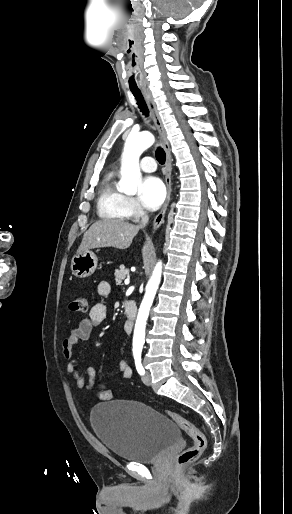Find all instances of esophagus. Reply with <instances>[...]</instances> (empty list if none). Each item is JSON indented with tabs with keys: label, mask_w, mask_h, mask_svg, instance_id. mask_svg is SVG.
<instances>
[{
	"label": "esophagus",
	"mask_w": 292,
	"mask_h": 514,
	"mask_svg": "<svg viewBox=\"0 0 292 514\" xmlns=\"http://www.w3.org/2000/svg\"><path fill=\"white\" fill-rule=\"evenodd\" d=\"M142 93L144 95V98L146 100V103L148 105V108L151 112L154 124L159 132L162 146L166 152V164H165V181H166V187H167V197L164 202V205L160 212L156 215L154 221H153V227H152V233L156 232V230L160 227V225L164 221L166 209L169 205L170 201V194H171V172H172V163H171V153H170V145L167 139V135L165 132V129L163 127L161 117L158 113L157 107L155 105L154 99L152 98L149 90L142 89Z\"/></svg>",
	"instance_id": "34e87169"
}]
</instances>
